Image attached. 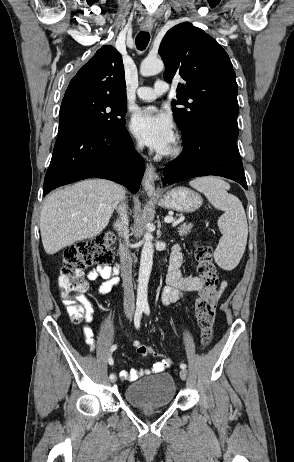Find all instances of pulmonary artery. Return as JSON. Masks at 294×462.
<instances>
[{
	"mask_svg": "<svg viewBox=\"0 0 294 462\" xmlns=\"http://www.w3.org/2000/svg\"><path fill=\"white\" fill-rule=\"evenodd\" d=\"M169 89L164 80H157L153 87H140L137 89V96L144 101H152L157 97L165 94Z\"/></svg>",
	"mask_w": 294,
	"mask_h": 462,
	"instance_id": "1",
	"label": "pulmonary artery"
}]
</instances>
